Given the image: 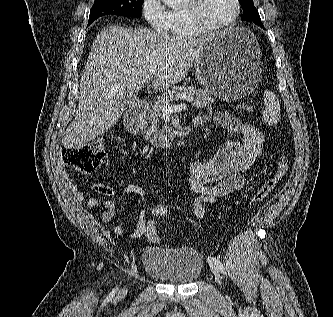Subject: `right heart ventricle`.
Masks as SVG:
<instances>
[{"label":"right heart ventricle","instance_id":"obj_1","mask_svg":"<svg viewBox=\"0 0 333 317\" xmlns=\"http://www.w3.org/2000/svg\"><path fill=\"white\" fill-rule=\"evenodd\" d=\"M185 0L183 3L175 8L168 11L169 16V26L167 32L180 39H187L199 36L202 32L197 30L189 21L186 12L183 8Z\"/></svg>","mask_w":333,"mask_h":317}]
</instances>
